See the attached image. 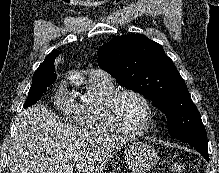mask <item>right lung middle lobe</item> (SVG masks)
<instances>
[{"label": "right lung middle lobe", "mask_w": 219, "mask_h": 173, "mask_svg": "<svg viewBox=\"0 0 219 173\" xmlns=\"http://www.w3.org/2000/svg\"><path fill=\"white\" fill-rule=\"evenodd\" d=\"M57 76L43 71H38L33 75L32 85L30 87L28 98L24 104V108L29 107L39 100L46 88L56 80Z\"/></svg>", "instance_id": "obj_1"}]
</instances>
